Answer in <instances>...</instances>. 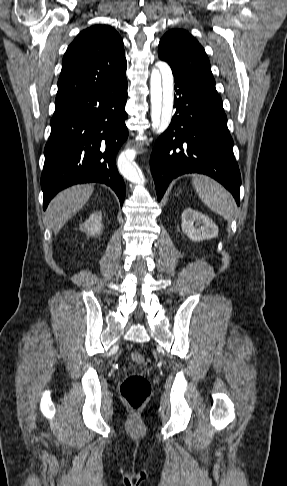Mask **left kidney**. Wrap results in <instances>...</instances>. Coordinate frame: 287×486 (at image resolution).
<instances>
[{"label": "left kidney", "mask_w": 287, "mask_h": 486, "mask_svg": "<svg viewBox=\"0 0 287 486\" xmlns=\"http://www.w3.org/2000/svg\"><path fill=\"white\" fill-rule=\"evenodd\" d=\"M182 231L194 242L218 236L217 225L206 215L187 208L182 213Z\"/></svg>", "instance_id": "1"}]
</instances>
